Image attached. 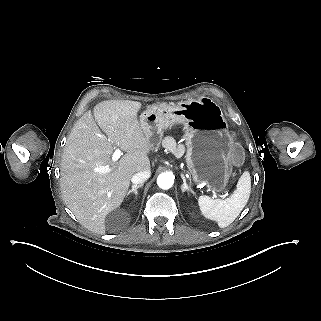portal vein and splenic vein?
<instances>
[{
    "instance_id": "portal-vein-and-splenic-vein-1",
    "label": "portal vein and splenic vein",
    "mask_w": 321,
    "mask_h": 321,
    "mask_svg": "<svg viewBox=\"0 0 321 321\" xmlns=\"http://www.w3.org/2000/svg\"><path fill=\"white\" fill-rule=\"evenodd\" d=\"M121 155H123V153L121 152L120 149H116L112 155V161H118L119 158L121 157ZM95 172H99V173H108L110 172V167L107 166H99L94 168ZM222 197H225V195H223ZM210 198L212 199V201H217V193L216 192H211L210 193Z\"/></svg>"
}]
</instances>
